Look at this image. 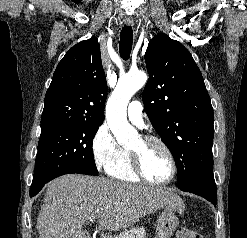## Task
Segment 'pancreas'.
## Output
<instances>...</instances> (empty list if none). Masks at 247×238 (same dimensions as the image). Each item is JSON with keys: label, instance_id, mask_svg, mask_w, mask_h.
Returning <instances> with one entry per match:
<instances>
[{"label": "pancreas", "instance_id": "cf45deb5", "mask_svg": "<svg viewBox=\"0 0 247 238\" xmlns=\"http://www.w3.org/2000/svg\"><path fill=\"white\" fill-rule=\"evenodd\" d=\"M114 238H147L144 231H128L117 235Z\"/></svg>", "mask_w": 247, "mask_h": 238}]
</instances>
